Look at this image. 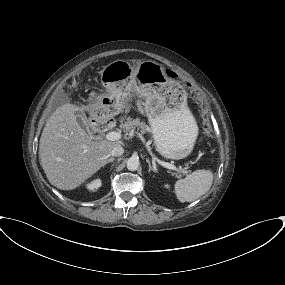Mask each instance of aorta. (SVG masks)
Returning a JSON list of instances; mask_svg holds the SVG:
<instances>
[{"instance_id": "762f6f07", "label": "aorta", "mask_w": 285, "mask_h": 285, "mask_svg": "<svg viewBox=\"0 0 285 285\" xmlns=\"http://www.w3.org/2000/svg\"><path fill=\"white\" fill-rule=\"evenodd\" d=\"M140 162L137 158L131 157L127 160L126 166L130 171H135L139 168Z\"/></svg>"}]
</instances>
